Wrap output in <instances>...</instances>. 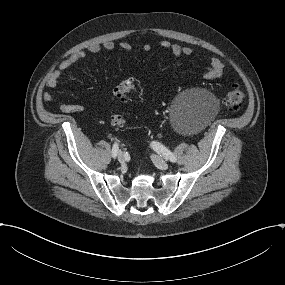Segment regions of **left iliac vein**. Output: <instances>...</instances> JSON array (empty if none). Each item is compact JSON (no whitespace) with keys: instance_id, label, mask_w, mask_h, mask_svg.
I'll return each instance as SVG.
<instances>
[{"instance_id":"left-iliac-vein-1","label":"left iliac vein","mask_w":285,"mask_h":285,"mask_svg":"<svg viewBox=\"0 0 285 285\" xmlns=\"http://www.w3.org/2000/svg\"><path fill=\"white\" fill-rule=\"evenodd\" d=\"M150 158L161 170H167L169 168V165L160 156L152 154Z\"/></svg>"}]
</instances>
